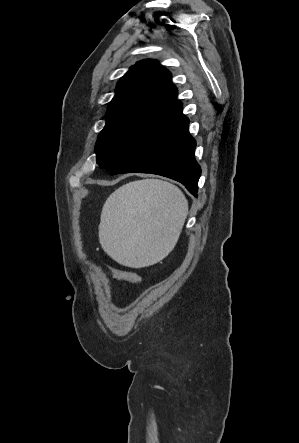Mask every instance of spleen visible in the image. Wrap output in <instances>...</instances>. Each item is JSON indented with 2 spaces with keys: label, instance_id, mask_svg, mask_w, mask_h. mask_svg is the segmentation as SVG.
I'll use <instances>...</instances> for the list:
<instances>
[{
  "label": "spleen",
  "instance_id": "3e777b00",
  "mask_svg": "<svg viewBox=\"0 0 299 443\" xmlns=\"http://www.w3.org/2000/svg\"><path fill=\"white\" fill-rule=\"evenodd\" d=\"M187 214L188 202L173 184L157 179L130 182L107 198L99 241L118 263L149 266L172 251Z\"/></svg>",
  "mask_w": 299,
  "mask_h": 443
}]
</instances>
